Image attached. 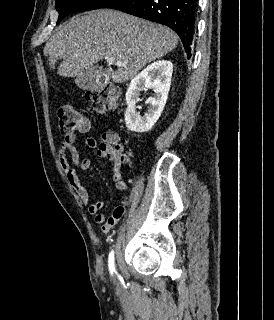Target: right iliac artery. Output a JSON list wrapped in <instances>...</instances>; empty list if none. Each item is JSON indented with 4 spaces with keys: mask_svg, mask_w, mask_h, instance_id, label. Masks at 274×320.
Returning <instances> with one entry per match:
<instances>
[{
    "mask_svg": "<svg viewBox=\"0 0 274 320\" xmlns=\"http://www.w3.org/2000/svg\"><path fill=\"white\" fill-rule=\"evenodd\" d=\"M108 266L111 275L115 272V264H114V251L112 250L109 254Z\"/></svg>",
    "mask_w": 274,
    "mask_h": 320,
    "instance_id": "1",
    "label": "right iliac artery"
}]
</instances>
